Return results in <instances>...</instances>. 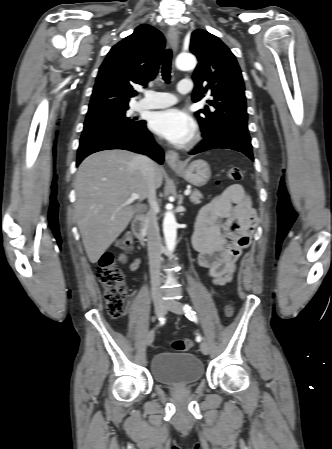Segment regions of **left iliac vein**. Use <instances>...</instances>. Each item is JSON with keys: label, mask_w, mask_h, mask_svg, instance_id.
Returning <instances> with one entry per match:
<instances>
[{"label": "left iliac vein", "mask_w": 332, "mask_h": 449, "mask_svg": "<svg viewBox=\"0 0 332 449\" xmlns=\"http://www.w3.org/2000/svg\"><path fill=\"white\" fill-rule=\"evenodd\" d=\"M166 307L171 312L176 314H183V305L175 300H170L166 302ZM200 350L204 355H207L209 353V345L206 341H203L200 343Z\"/></svg>", "instance_id": "left-iliac-vein-1"}]
</instances>
